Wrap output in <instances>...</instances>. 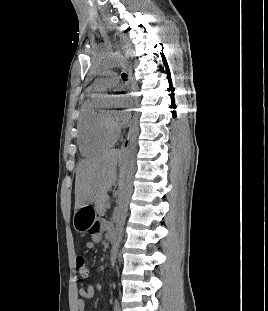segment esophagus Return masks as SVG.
Listing matches in <instances>:
<instances>
[{
  "label": "esophagus",
  "instance_id": "esophagus-1",
  "mask_svg": "<svg viewBox=\"0 0 268 311\" xmlns=\"http://www.w3.org/2000/svg\"><path fill=\"white\" fill-rule=\"evenodd\" d=\"M128 82L129 83L131 82V74H130V72L128 73ZM131 136H132V121L130 122V127H129V131L127 133V136H126V138H125L124 142L122 143L121 148L119 150V154L120 155H125L126 154L128 146H129V143H130V140H131Z\"/></svg>",
  "mask_w": 268,
  "mask_h": 311
}]
</instances>
